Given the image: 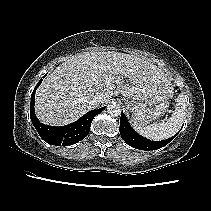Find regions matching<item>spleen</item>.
<instances>
[{
    "label": "spleen",
    "instance_id": "1",
    "mask_svg": "<svg viewBox=\"0 0 211 211\" xmlns=\"http://www.w3.org/2000/svg\"><path fill=\"white\" fill-rule=\"evenodd\" d=\"M177 104L171 117L163 123L149 126H135V130L146 138L152 140H164L172 137L181 128L185 119L186 102L183 95L177 98Z\"/></svg>",
    "mask_w": 211,
    "mask_h": 211
}]
</instances>
